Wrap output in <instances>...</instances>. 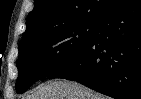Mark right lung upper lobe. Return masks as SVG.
<instances>
[{"label":"right lung upper lobe","instance_id":"1","mask_svg":"<svg viewBox=\"0 0 141 99\" xmlns=\"http://www.w3.org/2000/svg\"><path fill=\"white\" fill-rule=\"evenodd\" d=\"M122 0H34L20 43L83 21H98Z\"/></svg>","mask_w":141,"mask_h":99}]
</instances>
